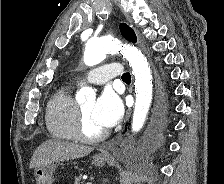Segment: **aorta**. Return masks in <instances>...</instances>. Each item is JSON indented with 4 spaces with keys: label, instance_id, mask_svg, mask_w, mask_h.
Segmentation results:
<instances>
[{
    "label": "aorta",
    "instance_id": "762f6f07",
    "mask_svg": "<svg viewBox=\"0 0 224 184\" xmlns=\"http://www.w3.org/2000/svg\"><path fill=\"white\" fill-rule=\"evenodd\" d=\"M119 51L128 60L135 78L136 101L131 128L133 132H138L145 123L152 101V76L146 57L135 46L122 43L117 39L91 38L85 46L84 63L87 66H95L102 62L107 54ZM94 96L92 88L83 87L76 97L85 100Z\"/></svg>",
    "mask_w": 224,
    "mask_h": 184
}]
</instances>
